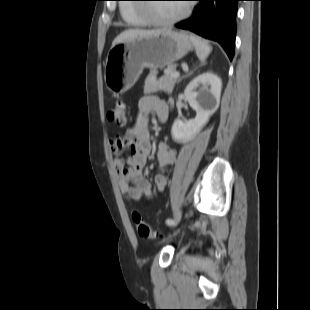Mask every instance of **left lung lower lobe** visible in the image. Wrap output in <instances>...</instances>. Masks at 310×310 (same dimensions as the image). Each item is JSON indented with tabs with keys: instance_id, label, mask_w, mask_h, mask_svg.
I'll return each instance as SVG.
<instances>
[{
	"instance_id": "left-lung-lower-lobe-1",
	"label": "left lung lower lobe",
	"mask_w": 310,
	"mask_h": 310,
	"mask_svg": "<svg viewBox=\"0 0 310 310\" xmlns=\"http://www.w3.org/2000/svg\"><path fill=\"white\" fill-rule=\"evenodd\" d=\"M194 14L177 23V28L190 30L218 42L230 60L234 56L237 2L241 0H196Z\"/></svg>"
}]
</instances>
